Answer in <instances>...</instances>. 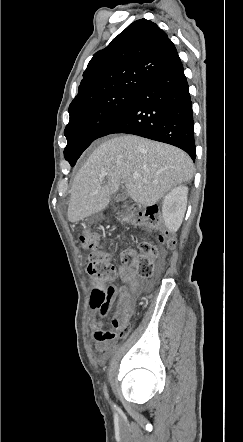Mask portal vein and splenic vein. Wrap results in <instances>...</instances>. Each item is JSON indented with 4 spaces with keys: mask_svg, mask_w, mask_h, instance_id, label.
Segmentation results:
<instances>
[{
    "mask_svg": "<svg viewBox=\"0 0 243 442\" xmlns=\"http://www.w3.org/2000/svg\"><path fill=\"white\" fill-rule=\"evenodd\" d=\"M106 175H107V173H105V172L101 173L100 176H99L100 180L103 179ZM139 177H140L139 173H137V172L133 173V178L134 179H138Z\"/></svg>",
    "mask_w": 243,
    "mask_h": 442,
    "instance_id": "portal-vein-and-splenic-vein-1",
    "label": "portal vein and splenic vein"
}]
</instances>
